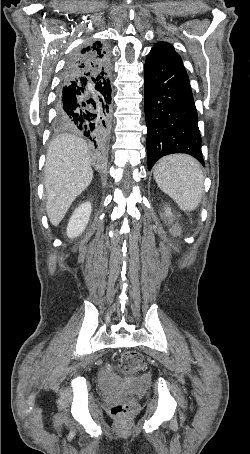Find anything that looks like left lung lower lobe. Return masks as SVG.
<instances>
[{"label": "left lung lower lobe", "mask_w": 250, "mask_h": 454, "mask_svg": "<svg viewBox=\"0 0 250 454\" xmlns=\"http://www.w3.org/2000/svg\"><path fill=\"white\" fill-rule=\"evenodd\" d=\"M148 170L161 157L186 153L203 166L198 115L182 61L150 52L144 67Z\"/></svg>", "instance_id": "0a47b994"}]
</instances>
